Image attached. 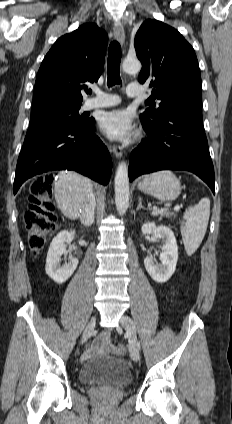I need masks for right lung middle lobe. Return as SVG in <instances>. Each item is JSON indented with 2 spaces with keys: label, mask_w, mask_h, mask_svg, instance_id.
<instances>
[{
  "label": "right lung middle lobe",
  "mask_w": 232,
  "mask_h": 424,
  "mask_svg": "<svg viewBox=\"0 0 232 424\" xmlns=\"http://www.w3.org/2000/svg\"><path fill=\"white\" fill-rule=\"evenodd\" d=\"M81 105L47 104L32 108L30 125L59 124L68 126H85L93 119L80 116Z\"/></svg>",
  "instance_id": "1"
}]
</instances>
